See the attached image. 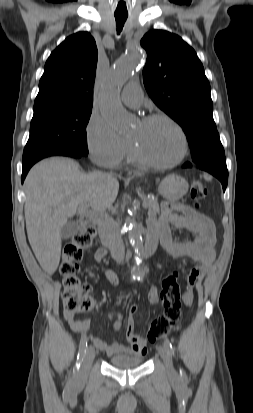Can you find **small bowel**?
I'll return each mask as SVG.
<instances>
[{"mask_svg": "<svg viewBox=\"0 0 253 413\" xmlns=\"http://www.w3.org/2000/svg\"><path fill=\"white\" fill-rule=\"evenodd\" d=\"M186 230L195 235L192 241L176 240L172 236L171 228ZM148 229L158 236L164 251L172 258H189L197 263L196 267L186 275V282L182 285L184 292L181 299L184 309H191L193 306L192 290L193 284L200 274L209 267L215 260V228L214 224L206 215L183 203L165 202L162 205L161 215L157 218L150 216L148 219ZM93 256L106 277L113 283H118L117 275L103 265L104 256L97 249ZM148 300L152 304L159 302L157 287L153 286L148 292ZM136 306L129 310L126 328V337L129 346L118 342L107 343L100 338H93L94 346L104 351L108 356L118 354H134L143 356L147 352L146 341L135 331L134 315ZM65 319L71 329L77 334L86 336L90 329L89 319H78L73 314L64 313ZM113 317V316H112ZM122 316L118 314L114 322L115 328L121 326Z\"/></svg>", "mask_w": 253, "mask_h": 413, "instance_id": "small-bowel-1", "label": "small bowel"}]
</instances>
